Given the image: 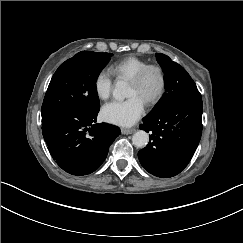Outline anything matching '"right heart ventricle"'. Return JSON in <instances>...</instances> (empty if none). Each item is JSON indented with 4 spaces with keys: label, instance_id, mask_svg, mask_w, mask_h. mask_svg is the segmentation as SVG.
<instances>
[{
    "label": "right heart ventricle",
    "instance_id": "right-heart-ventricle-1",
    "mask_svg": "<svg viewBox=\"0 0 243 243\" xmlns=\"http://www.w3.org/2000/svg\"><path fill=\"white\" fill-rule=\"evenodd\" d=\"M147 63V61L139 57L130 56L112 64L110 70L118 79L124 78L129 80Z\"/></svg>",
    "mask_w": 243,
    "mask_h": 243
}]
</instances>
